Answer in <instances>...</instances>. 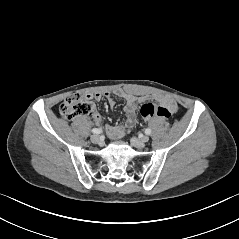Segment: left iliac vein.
<instances>
[{
    "label": "left iliac vein",
    "mask_w": 239,
    "mask_h": 239,
    "mask_svg": "<svg viewBox=\"0 0 239 239\" xmlns=\"http://www.w3.org/2000/svg\"><path fill=\"white\" fill-rule=\"evenodd\" d=\"M148 140H149L148 136H144L142 139H138V138L133 137L131 139V143H132L133 146L141 149V148L145 147V144Z\"/></svg>",
    "instance_id": "4c4485c4"
}]
</instances>
